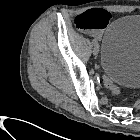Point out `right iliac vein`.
Masks as SVG:
<instances>
[{"instance_id":"obj_1","label":"right iliac vein","mask_w":140,"mask_h":140,"mask_svg":"<svg viewBox=\"0 0 140 140\" xmlns=\"http://www.w3.org/2000/svg\"><path fill=\"white\" fill-rule=\"evenodd\" d=\"M98 48L97 46L94 47V52H97Z\"/></svg>"}]
</instances>
